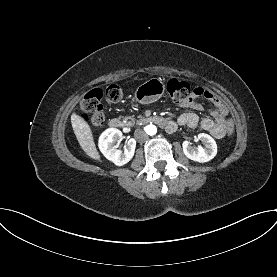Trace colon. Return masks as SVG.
Here are the masks:
<instances>
[{
	"mask_svg": "<svg viewBox=\"0 0 277 277\" xmlns=\"http://www.w3.org/2000/svg\"><path fill=\"white\" fill-rule=\"evenodd\" d=\"M167 90L171 99L177 104L190 100L194 94V91L191 90L187 82L178 79L169 80ZM104 96L110 102H118L121 100L123 92L117 85H111L107 87L105 91L96 88L89 91L81 101V117L93 126H100L104 123L105 114L101 103ZM225 127L227 129L225 132V139L227 141H232L235 136V118H228Z\"/></svg>",
	"mask_w": 277,
	"mask_h": 277,
	"instance_id": "obj_1",
	"label": "colon"
}]
</instances>
